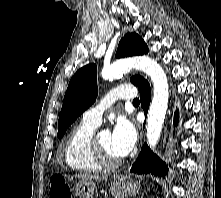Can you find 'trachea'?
Listing matches in <instances>:
<instances>
[{
	"mask_svg": "<svg viewBox=\"0 0 221 198\" xmlns=\"http://www.w3.org/2000/svg\"><path fill=\"white\" fill-rule=\"evenodd\" d=\"M138 103H139V99L138 98L133 100V104H138Z\"/></svg>",
	"mask_w": 221,
	"mask_h": 198,
	"instance_id": "trachea-1",
	"label": "trachea"
}]
</instances>
